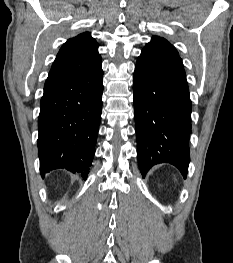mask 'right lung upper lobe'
<instances>
[{
    "mask_svg": "<svg viewBox=\"0 0 233 263\" xmlns=\"http://www.w3.org/2000/svg\"><path fill=\"white\" fill-rule=\"evenodd\" d=\"M100 59L96 40L89 32L81 33L62 45L49 75L85 74L92 70Z\"/></svg>",
    "mask_w": 233,
    "mask_h": 263,
    "instance_id": "cb5924a9",
    "label": "right lung upper lobe"
}]
</instances>
